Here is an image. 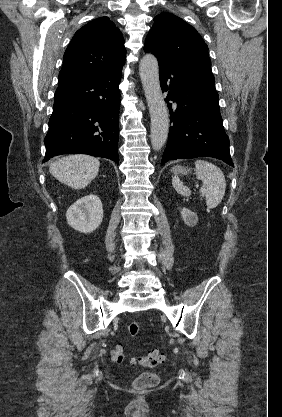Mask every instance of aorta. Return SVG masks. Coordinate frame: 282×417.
<instances>
[{"instance_id": "obj_1", "label": "aorta", "mask_w": 282, "mask_h": 417, "mask_svg": "<svg viewBox=\"0 0 282 417\" xmlns=\"http://www.w3.org/2000/svg\"><path fill=\"white\" fill-rule=\"evenodd\" d=\"M139 74L149 106L152 148L161 150L168 136L169 116L160 86L158 60L154 54L142 56Z\"/></svg>"}]
</instances>
